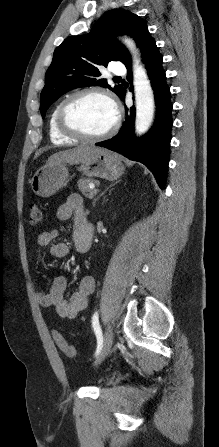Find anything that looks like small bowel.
Here are the masks:
<instances>
[{"label": "small bowel", "mask_w": 219, "mask_h": 447, "mask_svg": "<svg viewBox=\"0 0 219 447\" xmlns=\"http://www.w3.org/2000/svg\"><path fill=\"white\" fill-rule=\"evenodd\" d=\"M56 216L60 221H67L73 218L75 229L74 248L78 252H82L81 247L84 242L82 224L85 218L83 197L79 194L70 195L67 201L59 206ZM58 236L59 231L57 229L44 231L38 235L37 245L40 248L48 247L50 255L55 258H65L68 256L70 248L65 242H55ZM67 284V276H58L48 289L36 291V299L42 307L54 308L59 316L73 319L88 306L89 297L94 291L95 283L93 277H83L77 291L66 298Z\"/></svg>", "instance_id": "1"}]
</instances>
